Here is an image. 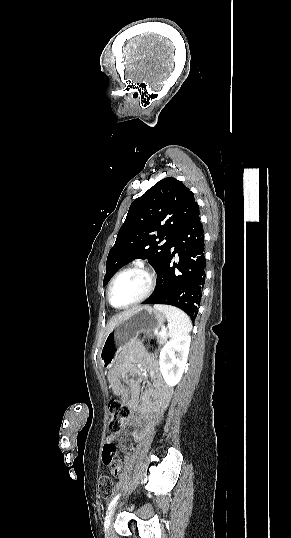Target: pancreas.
<instances>
[{
    "mask_svg": "<svg viewBox=\"0 0 291 538\" xmlns=\"http://www.w3.org/2000/svg\"><path fill=\"white\" fill-rule=\"evenodd\" d=\"M157 338L160 344H164L167 341L168 337L167 335L161 336L160 334L157 333Z\"/></svg>",
    "mask_w": 291,
    "mask_h": 538,
    "instance_id": "obj_1",
    "label": "pancreas"
}]
</instances>
